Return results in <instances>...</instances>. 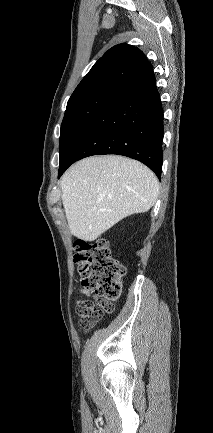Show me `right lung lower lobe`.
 Instances as JSON below:
<instances>
[{
    "mask_svg": "<svg viewBox=\"0 0 213 433\" xmlns=\"http://www.w3.org/2000/svg\"><path fill=\"white\" fill-rule=\"evenodd\" d=\"M163 109L153 70L124 90L72 141L60 157L59 173L75 161L102 154L136 159L160 179Z\"/></svg>",
    "mask_w": 213,
    "mask_h": 433,
    "instance_id": "right-lung-lower-lobe-1",
    "label": "right lung lower lobe"
}]
</instances>
